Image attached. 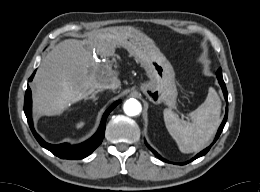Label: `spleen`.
<instances>
[{
  "mask_svg": "<svg viewBox=\"0 0 260 192\" xmlns=\"http://www.w3.org/2000/svg\"><path fill=\"white\" fill-rule=\"evenodd\" d=\"M221 100L213 88H209L205 101L189 113L191 122L180 119L171 109H164V122L169 134L182 153L203 149L217 131L221 119Z\"/></svg>",
  "mask_w": 260,
  "mask_h": 192,
  "instance_id": "1",
  "label": "spleen"
}]
</instances>
